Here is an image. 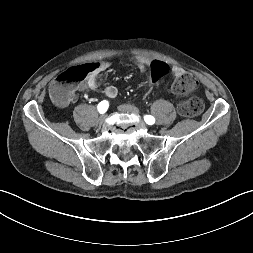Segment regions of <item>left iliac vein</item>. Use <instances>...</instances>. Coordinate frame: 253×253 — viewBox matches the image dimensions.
Segmentation results:
<instances>
[{
  "label": "left iliac vein",
  "mask_w": 253,
  "mask_h": 253,
  "mask_svg": "<svg viewBox=\"0 0 253 253\" xmlns=\"http://www.w3.org/2000/svg\"><path fill=\"white\" fill-rule=\"evenodd\" d=\"M118 110L120 112L131 113V114H134L136 116H139V114H140L139 110L135 106H133V105L123 104V105H120L118 107Z\"/></svg>",
  "instance_id": "1"
}]
</instances>
